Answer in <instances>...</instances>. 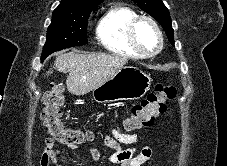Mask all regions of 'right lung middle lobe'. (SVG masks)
<instances>
[{
	"mask_svg": "<svg viewBox=\"0 0 227 166\" xmlns=\"http://www.w3.org/2000/svg\"><path fill=\"white\" fill-rule=\"evenodd\" d=\"M93 8L73 13H53L42 60L55 51L87 44V20Z\"/></svg>",
	"mask_w": 227,
	"mask_h": 166,
	"instance_id": "dd1d6c3e",
	"label": "right lung middle lobe"
}]
</instances>
